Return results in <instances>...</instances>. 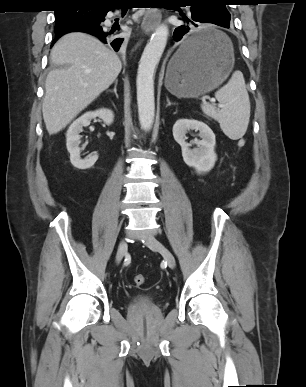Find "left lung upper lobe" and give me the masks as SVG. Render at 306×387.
Masks as SVG:
<instances>
[{"instance_id":"left-lung-upper-lobe-1","label":"left lung upper lobe","mask_w":306,"mask_h":387,"mask_svg":"<svg viewBox=\"0 0 306 387\" xmlns=\"http://www.w3.org/2000/svg\"><path fill=\"white\" fill-rule=\"evenodd\" d=\"M226 0H187L184 3L191 5V11H197L201 6L207 8L209 15L217 22H230V13L225 6Z\"/></svg>"}]
</instances>
